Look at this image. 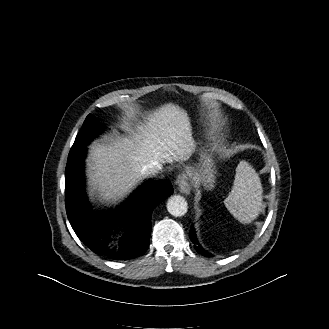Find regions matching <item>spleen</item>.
<instances>
[{"mask_svg": "<svg viewBox=\"0 0 329 329\" xmlns=\"http://www.w3.org/2000/svg\"><path fill=\"white\" fill-rule=\"evenodd\" d=\"M262 185L255 169L242 160L236 168L232 190L224 200L229 212L241 223H250L262 207Z\"/></svg>", "mask_w": 329, "mask_h": 329, "instance_id": "1", "label": "spleen"}]
</instances>
